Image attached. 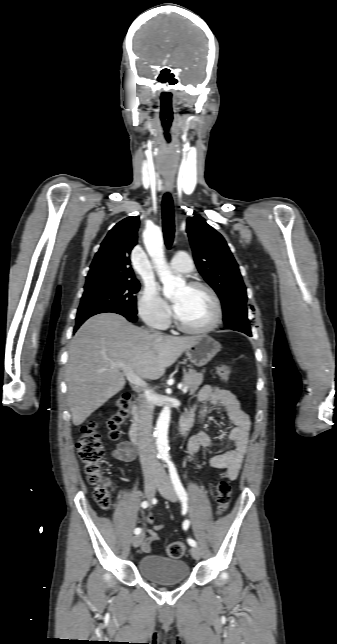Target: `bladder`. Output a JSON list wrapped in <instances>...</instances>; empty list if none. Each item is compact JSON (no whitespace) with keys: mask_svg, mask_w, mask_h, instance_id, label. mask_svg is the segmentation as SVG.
I'll return each instance as SVG.
<instances>
[{"mask_svg":"<svg viewBox=\"0 0 337 644\" xmlns=\"http://www.w3.org/2000/svg\"><path fill=\"white\" fill-rule=\"evenodd\" d=\"M138 570L147 580L162 585L181 583L190 574L189 565L185 561L160 555L142 557L138 562Z\"/></svg>","mask_w":337,"mask_h":644,"instance_id":"bladder-1","label":"bladder"}]
</instances>
